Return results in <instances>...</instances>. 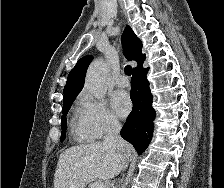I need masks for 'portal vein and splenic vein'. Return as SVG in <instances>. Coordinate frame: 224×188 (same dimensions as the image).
<instances>
[{
	"label": "portal vein and splenic vein",
	"mask_w": 224,
	"mask_h": 188,
	"mask_svg": "<svg viewBox=\"0 0 224 188\" xmlns=\"http://www.w3.org/2000/svg\"><path fill=\"white\" fill-rule=\"evenodd\" d=\"M91 188H107V186L103 182H95L91 184Z\"/></svg>",
	"instance_id": "obj_1"
}]
</instances>
